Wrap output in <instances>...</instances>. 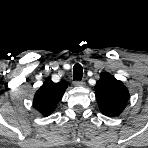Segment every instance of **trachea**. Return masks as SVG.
I'll use <instances>...</instances> for the list:
<instances>
[{
  "label": "trachea",
  "instance_id": "3493384b",
  "mask_svg": "<svg viewBox=\"0 0 148 148\" xmlns=\"http://www.w3.org/2000/svg\"><path fill=\"white\" fill-rule=\"evenodd\" d=\"M83 76V68L79 63H76L73 67V79L81 81Z\"/></svg>",
  "mask_w": 148,
  "mask_h": 148
}]
</instances>
